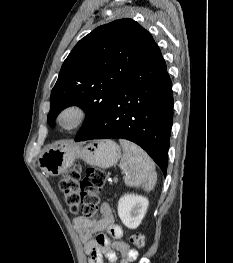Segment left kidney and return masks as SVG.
Segmentation results:
<instances>
[{"mask_svg":"<svg viewBox=\"0 0 233 263\" xmlns=\"http://www.w3.org/2000/svg\"><path fill=\"white\" fill-rule=\"evenodd\" d=\"M149 201L146 197L125 194L118 202V215L122 223L130 228L136 229L144 218Z\"/></svg>","mask_w":233,"mask_h":263,"instance_id":"left-kidney-1","label":"left kidney"}]
</instances>
